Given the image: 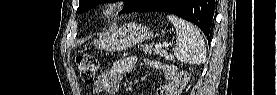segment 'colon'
Here are the masks:
<instances>
[{"mask_svg":"<svg viewBox=\"0 0 277 95\" xmlns=\"http://www.w3.org/2000/svg\"><path fill=\"white\" fill-rule=\"evenodd\" d=\"M77 69L81 78L87 84H93L98 70L97 58L90 54L78 56Z\"/></svg>","mask_w":277,"mask_h":95,"instance_id":"5ec220e1","label":"colon"}]
</instances>
